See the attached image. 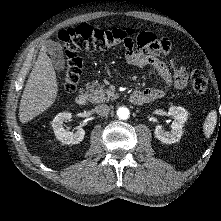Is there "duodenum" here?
<instances>
[{
    "mask_svg": "<svg viewBox=\"0 0 221 221\" xmlns=\"http://www.w3.org/2000/svg\"><path fill=\"white\" fill-rule=\"evenodd\" d=\"M76 103L79 106H83L87 103L88 101V95L86 92H80L76 98H75ZM130 101L133 104L136 105H140L143 104L145 102H147L146 98L144 97V95L142 93H140L139 91H135L130 95Z\"/></svg>",
    "mask_w": 221,
    "mask_h": 221,
    "instance_id": "obj_1",
    "label": "duodenum"
}]
</instances>
